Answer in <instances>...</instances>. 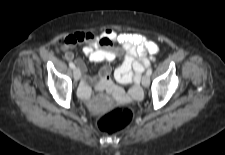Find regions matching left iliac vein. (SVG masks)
<instances>
[{
	"label": "left iliac vein",
	"instance_id": "obj_1",
	"mask_svg": "<svg viewBox=\"0 0 225 155\" xmlns=\"http://www.w3.org/2000/svg\"><path fill=\"white\" fill-rule=\"evenodd\" d=\"M150 84V76L145 74L143 77H142V85L144 87H148Z\"/></svg>",
	"mask_w": 225,
	"mask_h": 155
}]
</instances>
